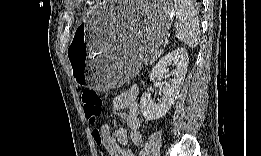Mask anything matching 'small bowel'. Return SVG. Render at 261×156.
I'll use <instances>...</instances> for the list:
<instances>
[{"label":"small bowel","mask_w":261,"mask_h":156,"mask_svg":"<svg viewBox=\"0 0 261 156\" xmlns=\"http://www.w3.org/2000/svg\"><path fill=\"white\" fill-rule=\"evenodd\" d=\"M138 92V88L133 86L115 97L111 103V111L121 116L127 128H117L115 136L111 135L109 124H103L98 131L100 143L110 156H133L134 151L127 146L129 143L139 145L142 142L139 106L136 100Z\"/></svg>","instance_id":"obj_1"}]
</instances>
